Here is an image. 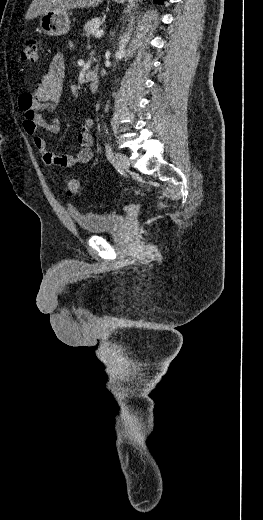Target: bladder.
<instances>
[{
    "instance_id": "31cf9c89",
    "label": "bladder",
    "mask_w": 263,
    "mask_h": 520,
    "mask_svg": "<svg viewBox=\"0 0 263 520\" xmlns=\"http://www.w3.org/2000/svg\"><path fill=\"white\" fill-rule=\"evenodd\" d=\"M77 226L86 234H102L122 230L127 218L120 213H79L74 215Z\"/></svg>"
}]
</instances>
